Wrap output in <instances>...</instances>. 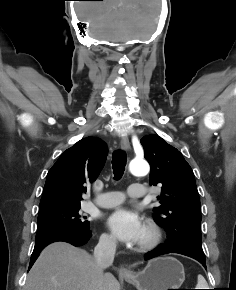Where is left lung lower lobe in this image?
Masks as SVG:
<instances>
[{
    "label": "left lung lower lobe",
    "instance_id": "1",
    "mask_svg": "<svg viewBox=\"0 0 236 290\" xmlns=\"http://www.w3.org/2000/svg\"><path fill=\"white\" fill-rule=\"evenodd\" d=\"M168 253H178V254L192 257L198 260L206 269L204 252H201L194 247L184 245V244H179L175 246L161 244L156 249L152 250L151 252H148L145 255V260L151 259L159 255L168 254Z\"/></svg>",
    "mask_w": 236,
    "mask_h": 290
}]
</instances>
